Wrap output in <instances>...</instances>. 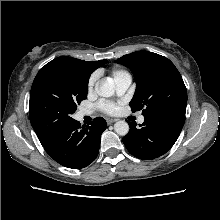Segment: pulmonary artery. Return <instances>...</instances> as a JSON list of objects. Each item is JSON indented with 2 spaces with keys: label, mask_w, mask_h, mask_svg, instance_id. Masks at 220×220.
<instances>
[{
  "label": "pulmonary artery",
  "mask_w": 220,
  "mask_h": 220,
  "mask_svg": "<svg viewBox=\"0 0 220 220\" xmlns=\"http://www.w3.org/2000/svg\"><path fill=\"white\" fill-rule=\"evenodd\" d=\"M132 82V77L128 73H123L114 78L115 90L118 96L123 95L127 89L129 88ZM91 111L89 110H81L79 112V117H83L86 115H90ZM144 122V116H139L138 123L142 124Z\"/></svg>",
  "instance_id": "pulmonary-artery-1"
}]
</instances>
